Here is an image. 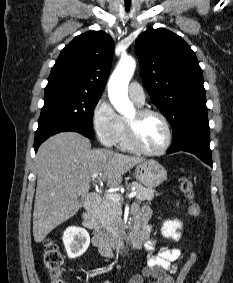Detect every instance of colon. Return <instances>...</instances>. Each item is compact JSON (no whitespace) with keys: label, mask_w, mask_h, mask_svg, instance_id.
Wrapping results in <instances>:
<instances>
[{"label":"colon","mask_w":233,"mask_h":283,"mask_svg":"<svg viewBox=\"0 0 233 283\" xmlns=\"http://www.w3.org/2000/svg\"><path fill=\"white\" fill-rule=\"evenodd\" d=\"M179 189L189 200V214L193 217H198L201 214V208L194 200L195 193L193 183L190 180L185 179L181 181ZM196 260L197 253L194 252L181 269L177 278V283H184ZM44 265L50 274L52 283H66L64 277V257L60 252L58 245L50 239L44 242Z\"/></svg>","instance_id":"obj_1"}]
</instances>
